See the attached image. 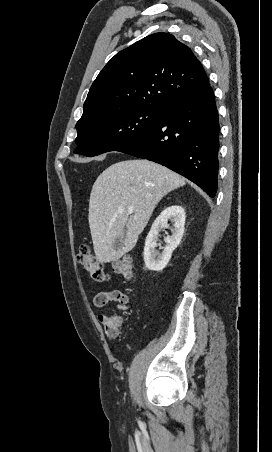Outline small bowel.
I'll return each instance as SVG.
<instances>
[{
  "label": "small bowel",
  "mask_w": 272,
  "mask_h": 452,
  "mask_svg": "<svg viewBox=\"0 0 272 452\" xmlns=\"http://www.w3.org/2000/svg\"><path fill=\"white\" fill-rule=\"evenodd\" d=\"M110 302H114L119 311L127 312L131 309L129 296L119 290L103 291L94 297L96 307H103ZM98 320L104 326L106 335L109 338H116L120 333L124 318L122 315L99 314Z\"/></svg>",
  "instance_id": "obj_1"
}]
</instances>
